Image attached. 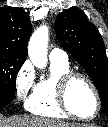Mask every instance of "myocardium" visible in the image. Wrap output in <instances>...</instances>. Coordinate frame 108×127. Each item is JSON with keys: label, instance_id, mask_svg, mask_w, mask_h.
Wrapping results in <instances>:
<instances>
[{"label": "myocardium", "instance_id": "f54148a6", "mask_svg": "<svg viewBox=\"0 0 108 127\" xmlns=\"http://www.w3.org/2000/svg\"><path fill=\"white\" fill-rule=\"evenodd\" d=\"M77 79H81L85 83L88 84V86L93 91L95 99H96L95 111L89 117L79 116L71 109V107L69 105V101H68L69 89H70L72 83ZM57 98H58V103H59L61 109L67 115H69L77 120H81V121H90V120L94 119L98 115L100 108H101V98H100V94H99V91H98L95 83L87 75H85L81 72L69 71L60 77V79L58 80V84H57Z\"/></svg>", "mask_w": 108, "mask_h": 127}]
</instances>
